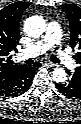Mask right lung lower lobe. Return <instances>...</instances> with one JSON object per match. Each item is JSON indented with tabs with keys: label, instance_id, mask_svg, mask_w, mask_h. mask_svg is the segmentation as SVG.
<instances>
[{
	"label": "right lung lower lobe",
	"instance_id": "obj_1",
	"mask_svg": "<svg viewBox=\"0 0 81 124\" xmlns=\"http://www.w3.org/2000/svg\"><path fill=\"white\" fill-rule=\"evenodd\" d=\"M40 63L32 66L19 65L8 76L0 80V95L17 97L25 93L31 86Z\"/></svg>",
	"mask_w": 81,
	"mask_h": 124
}]
</instances>
